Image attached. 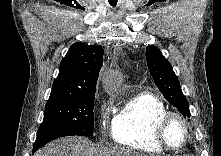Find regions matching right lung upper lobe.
Here are the masks:
<instances>
[{
    "label": "right lung upper lobe",
    "mask_w": 221,
    "mask_h": 156,
    "mask_svg": "<svg viewBox=\"0 0 221 156\" xmlns=\"http://www.w3.org/2000/svg\"><path fill=\"white\" fill-rule=\"evenodd\" d=\"M103 62V48L74 43L61 60L59 74L53 82L49 100L70 99L95 93Z\"/></svg>",
    "instance_id": "cb5924a9"
}]
</instances>
